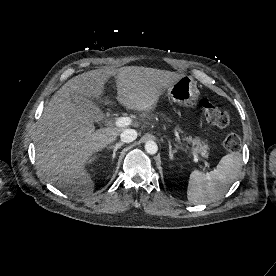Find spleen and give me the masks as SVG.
<instances>
[{"mask_svg": "<svg viewBox=\"0 0 276 276\" xmlns=\"http://www.w3.org/2000/svg\"><path fill=\"white\" fill-rule=\"evenodd\" d=\"M242 157L233 152L222 157L216 168L208 173L198 170L191 172L187 199L192 204H207L221 198L237 178Z\"/></svg>", "mask_w": 276, "mask_h": 276, "instance_id": "spleen-1", "label": "spleen"}]
</instances>
